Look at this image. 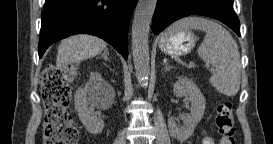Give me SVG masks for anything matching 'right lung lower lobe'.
Here are the masks:
<instances>
[{
  "mask_svg": "<svg viewBox=\"0 0 273 144\" xmlns=\"http://www.w3.org/2000/svg\"><path fill=\"white\" fill-rule=\"evenodd\" d=\"M137 0H46L38 53L42 57L54 42L70 35H96L111 44L125 59L127 34Z\"/></svg>",
  "mask_w": 273,
  "mask_h": 144,
  "instance_id": "98d812e1",
  "label": "right lung lower lobe"
}]
</instances>
